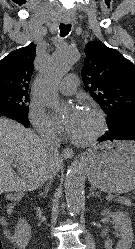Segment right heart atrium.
Instances as JSON below:
<instances>
[{"instance_id": "d8ad5b80", "label": "right heart atrium", "mask_w": 135, "mask_h": 249, "mask_svg": "<svg viewBox=\"0 0 135 249\" xmlns=\"http://www.w3.org/2000/svg\"><path fill=\"white\" fill-rule=\"evenodd\" d=\"M29 120L35 129L44 135L59 136L62 133L60 126L46 112L39 102H32L28 112Z\"/></svg>"}]
</instances>
